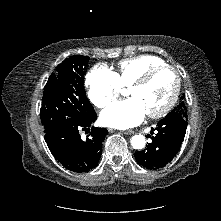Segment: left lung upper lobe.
Here are the masks:
<instances>
[{"label":"left lung upper lobe","mask_w":221,"mask_h":221,"mask_svg":"<svg viewBox=\"0 0 221 221\" xmlns=\"http://www.w3.org/2000/svg\"><path fill=\"white\" fill-rule=\"evenodd\" d=\"M184 97H182L183 99ZM175 113H180L182 114L183 116H187V109H186V106L184 104V102H180L178 106H176L168 115H172V114H175Z\"/></svg>","instance_id":"1"}]
</instances>
